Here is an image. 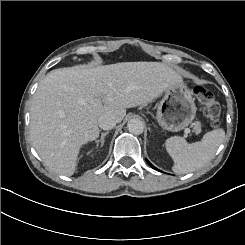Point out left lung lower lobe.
<instances>
[{
  "instance_id": "1",
  "label": "left lung lower lobe",
  "mask_w": 245,
  "mask_h": 245,
  "mask_svg": "<svg viewBox=\"0 0 245 245\" xmlns=\"http://www.w3.org/2000/svg\"><path fill=\"white\" fill-rule=\"evenodd\" d=\"M147 161V163L153 168V169H155V170H158L156 167H154L148 160H146ZM159 171V170H158Z\"/></svg>"
}]
</instances>
